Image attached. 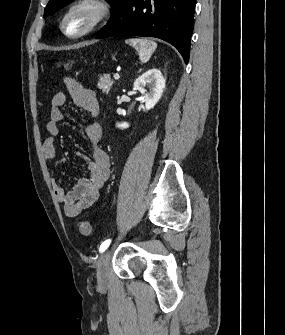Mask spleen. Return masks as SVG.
I'll return each instance as SVG.
<instances>
[{"mask_svg": "<svg viewBox=\"0 0 285 335\" xmlns=\"http://www.w3.org/2000/svg\"><path fill=\"white\" fill-rule=\"evenodd\" d=\"M125 44H129V46H133V48L137 50L139 54V60H141L142 64L149 62L153 52H155L157 48L156 42H152V40H149V38H144V40H139V38H131V40H125Z\"/></svg>", "mask_w": 285, "mask_h": 335, "instance_id": "1", "label": "spleen"}]
</instances>
